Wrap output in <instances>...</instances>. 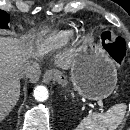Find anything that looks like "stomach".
<instances>
[{"label": "stomach", "mask_w": 130, "mask_h": 130, "mask_svg": "<svg viewBox=\"0 0 130 130\" xmlns=\"http://www.w3.org/2000/svg\"><path fill=\"white\" fill-rule=\"evenodd\" d=\"M71 56V80L79 95L90 100H102L112 94L117 72L110 59L98 49H88L84 44H77Z\"/></svg>", "instance_id": "1"}]
</instances>
